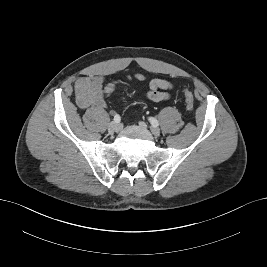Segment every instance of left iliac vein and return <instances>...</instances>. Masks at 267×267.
Listing matches in <instances>:
<instances>
[{"instance_id": "left-iliac-vein-1", "label": "left iliac vein", "mask_w": 267, "mask_h": 267, "mask_svg": "<svg viewBox=\"0 0 267 267\" xmlns=\"http://www.w3.org/2000/svg\"><path fill=\"white\" fill-rule=\"evenodd\" d=\"M139 125H140L141 127H143V128H146V127H147V125H146L144 122H140ZM150 130H151V132H152V134H153L154 136L157 137V136L160 135V129H159L158 127L151 126V127H150Z\"/></svg>"}]
</instances>
